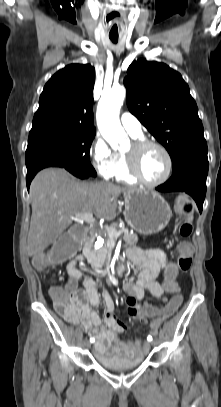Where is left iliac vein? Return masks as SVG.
Here are the masks:
<instances>
[{"label": "left iliac vein", "mask_w": 221, "mask_h": 407, "mask_svg": "<svg viewBox=\"0 0 221 407\" xmlns=\"http://www.w3.org/2000/svg\"><path fill=\"white\" fill-rule=\"evenodd\" d=\"M156 344H157V340L154 339V340L152 341V345H156Z\"/></svg>", "instance_id": "4c4485c4"}]
</instances>
